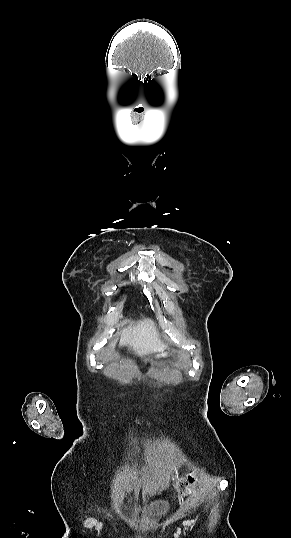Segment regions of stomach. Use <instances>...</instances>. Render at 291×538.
Here are the masks:
<instances>
[{
    "instance_id": "1",
    "label": "stomach",
    "mask_w": 291,
    "mask_h": 538,
    "mask_svg": "<svg viewBox=\"0 0 291 538\" xmlns=\"http://www.w3.org/2000/svg\"><path fill=\"white\" fill-rule=\"evenodd\" d=\"M169 356H170L169 352H167L165 350H160V351L156 352V357H158V358L159 357L167 358Z\"/></svg>"
}]
</instances>
